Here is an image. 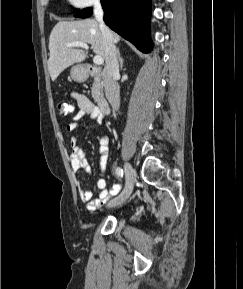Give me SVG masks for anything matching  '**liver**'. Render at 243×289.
I'll return each mask as SVG.
<instances>
[{"label":"liver","mask_w":243,"mask_h":289,"mask_svg":"<svg viewBox=\"0 0 243 289\" xmlns=\"http://www.w3.org/2000/svg\"><path fill=\"white\" fill-rule=\"evenodd\" d=\"M112 36L114 43L120 41L119 35L112 33ZM74 41L90 44L96 55L105 58L101 30L95 19L59 21L52 29L49 37L48 70L52 81H55L67 67L85 60L84 50L66 45Z\"/></svg>","instance_id":"obj_1"}]
</instances>
